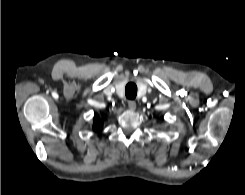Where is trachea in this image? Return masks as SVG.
<instances>
[{
    "mask_svg": "<svg viewBox=\"0 0 245 195\" xmlns=\"http://www.w3.org/2000/svg\"><path fill=\"white\" fill-rule=\"evenodd\" d=\"M125 95L128 99H135L137 95V86L135 83H128L125 87Z\"/></svg>",
    "mask_w": 245,
    "mask_h": 195,
    "instance_id": "1",
    "label": "trachea"
}]
</instances>
